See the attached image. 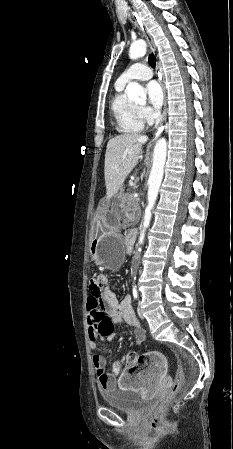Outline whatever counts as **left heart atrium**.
I'll use <instances>...</instances> for the list:
<instances>
[{
  "label": "left heart atrium",
  "mask_w": 233,
  "mask_h": 449,
  "mask_svg": "<svg viewBox=\"0 0 233 449\" xmlns=\"http://www.w3.org/2000/svg\"><path fill=\"white\" fill-rule=\"evenodd\" d=\"M146 92H147L150 104L155 109H160V107L162 106L163 98H164L163 90H162L160 84L157 83L156 81L149 82L146 86Z\"/></svg>",
  "instance_id": "1"
}]
</instances>
